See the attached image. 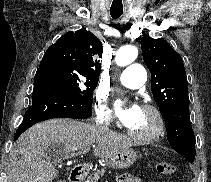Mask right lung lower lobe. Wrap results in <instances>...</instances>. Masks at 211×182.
Listing matches in <instances>:
<instances>
[{
    "label": "right lung lower lobe",
    "mask_w": 211,
    "mask_h": 182,
    "mask_svg": "<svg viewBox=\"0 0 211 182\" xmlns=\"http://www.w3.org/2000/svg\"><path fill=\"white\" fill-rule=\"evenodd\" d=\"M92 115V106L78 101L74 95L56 84L46 73L37 71L32 93V106L16 131V140L29 127L51 118L86 119Z\"/></svg>",
    "instance_id": "98d812e1"
}]
</instances>
